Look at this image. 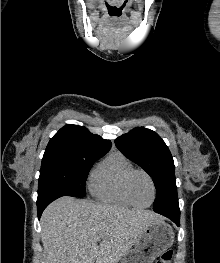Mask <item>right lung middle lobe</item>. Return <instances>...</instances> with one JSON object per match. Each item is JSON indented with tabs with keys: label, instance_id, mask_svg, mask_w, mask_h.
Instances as JSON below:
<instances>
[{
	"label": "right lung middle lobe",
	"instance_id": "right-lung-middle-lobe-1",
	"mask_svg": "<svg viewBox=\"0 0 220 263\" xmlns=\"http://www.w3.org/2000/svg\"><path fill=\"white\" fill-rule=\"evenodd\" d=\"M102 156L83 151H45L38 181L37 202L56 195L84 197L89 170Z\"/></svg>",
	"mask_w": 220,
	"mask_h": 263
}]
</instances>
